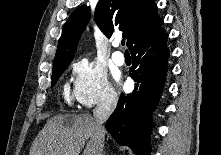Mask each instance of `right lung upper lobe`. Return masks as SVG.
Returning <instances> with one entry per match:
<instances>
[{
  "instance_id": "right-lung-upper-lobe-1",
  "label": "right lung upper lobe",
  "mask_w": 221,
  "mask_h": 155,
  "mask_svg": "<svg viewBox=\"0 0 221 155\" xmlns=\"http://www.w3.org/2000/svg\"><path fill=\"white\" fill-rule=\"evenodd\" d=\"M89 18L90 11L86 5L78 7L70 15L58 42L53 69L70 64ZM95 21L108 38L114 31H122L129 49L140 36L162 23L154 0H99Z\"/></svg>"
}]
</instances>
